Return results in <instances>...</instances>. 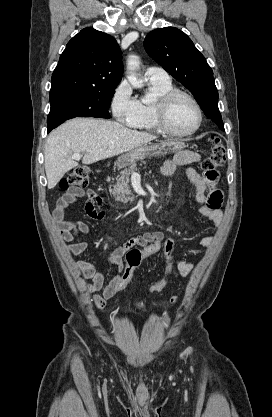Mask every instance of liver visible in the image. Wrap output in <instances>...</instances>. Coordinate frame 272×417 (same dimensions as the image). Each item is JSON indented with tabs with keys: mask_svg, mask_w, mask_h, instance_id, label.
<instances>
[{
	"mask_svg": "<svg viewBox=\"0 0 272 417\" xmlns=\"http://www.w3.org/2000/svg\"><path fill=\"white\" fill-rule=\"evenodd\" d=\"M157 137L129 129L120 123L93 118H74L53 130L45 146L48 188H54L66 172L78 166L73 153H84L89 165L140 147Z\"/></svg>",
	"mask_w": 272,
	"mask_h": 417,
	"instance_id": "6515ba94",
	"label": "liver"
}]
</instances>
